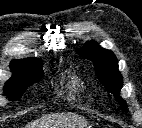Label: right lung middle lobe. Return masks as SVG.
<instances>
[{
    "label": "right lung middle lobe",
    "instance_id": "dd1d6c3e",
    "mask_svg": "<svg viewBox=\"0 0 142 128\" xmlns=\"http://www.w3.org/2000/svg\"><path fill=\"white\" fill-rule=\"evenodd\" d=\"M43 76L40 64L31 67L21 77L10 79L5 87V94L13 101L19 99L26 89Z\"/></svg>",
    "mask_w": 142,
    "mask_h": 128
}]
</instances>
